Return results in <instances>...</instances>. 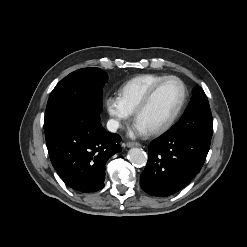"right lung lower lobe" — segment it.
Returning <instances> with one entry per match:
<instances>
[{
  "label": "right lung lower lobe",
  "instance_id": "right-lung-lower-lobe-1",
  "mask_svg": "<svg viewBox=\"0 0 247 247\" xmlns=\"http://www.w3.org/2000/svg\"><path fill=\"white\" fill-rule=\"evenodd\" d=\"M52 165L63 181L82 193L104 187L105 164L121 151V138L99 121L78 122L45 134Z\"/></svg>",
  "mask_w": 247,
  "mask_h": 247
}]
</instances>
